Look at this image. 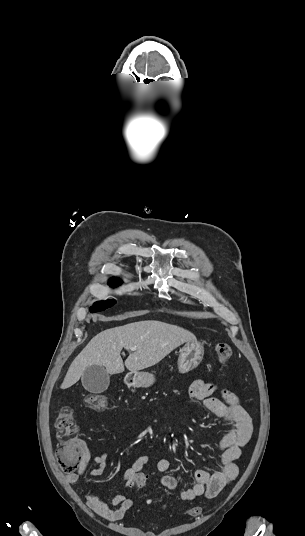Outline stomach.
Listing matches in <instances>:
<instances>
[{"label":"stomach","instance_id":"stomach-1","mask_svg":"<svg viewBox=\"0 0 305 536\" xmlns=\"http://www.w3.org/2000/svg\"><path fill=\"white\" fill-rule=\"evenodd\" d=\"M204 356V346L201 342H186L180 350L178 358V370L181 374H186L190 370H194L199 366ZM126 384L134 386V388H149L155 382L153 374L148 372H135V374H127L125 378Z\"/></svg>","mask_w":305,"mask_h":536}]
</instances>
